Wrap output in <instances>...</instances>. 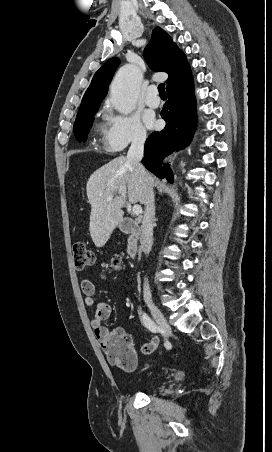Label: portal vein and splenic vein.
I'll return each instance as SVG.
<instances>
[{
	"mask_svg": "<svg viewBox=\"0 0 272 452\" xmlns=\"http://www.w3.org/2000/svg\"><path fill=\"white\" fill-rule=\"evenodd\" d=\"M112 199H113V195L109 196V197L107 198V201H111ZM132 212H133L134 215H139V214H141V213H142V208H141V206H140V205H134V206L132 207Z\"/></svg>",
	"mask_w": 272,
	"mask_h": 452,
	"instance_id": "18ae733b",
	"label": "portal vein and splenic vein"
}]
</instances>
